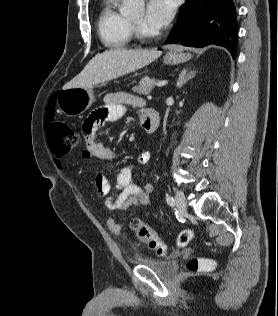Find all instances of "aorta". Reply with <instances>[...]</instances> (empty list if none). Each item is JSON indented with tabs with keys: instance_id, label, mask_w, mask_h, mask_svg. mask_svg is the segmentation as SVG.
<instances>
[{
	"instance_id": "obj_1",
	"label": "aorta",
	"mask_w": 278,
	"mask_h": 316,
	"mask_svg": "<svg viewBox=\"0 0 278 316\" xmlns=\"http://www.w3.org/2000/svg\"><path fill=\"white\" fill-rule=\"evenodd\" d=\"M144 10V0H124L120 7L122 15H138Z\"/></svg>"
}]
</instances>
